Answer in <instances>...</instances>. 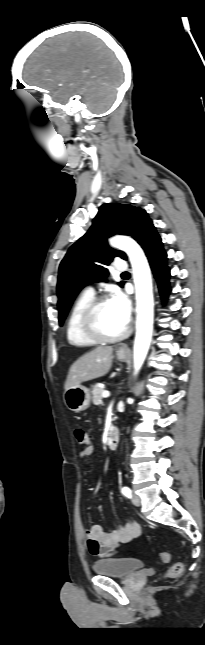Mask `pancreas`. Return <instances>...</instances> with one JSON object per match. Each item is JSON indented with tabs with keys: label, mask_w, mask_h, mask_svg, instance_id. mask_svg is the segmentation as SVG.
Listing matches in <instances>:
<instances>
[{
	"label": "pancreas",
	"mask_w": 205,
	"mask_h": 645,
	"mask_svg": "<svg viewBox=\"0 0 205 645\" xmlns=\"http://www.w3.org/2000/svg\"><path fill=\"white\" fill-rule=\"evenodd\" d=\"M103 391H104V388H101V387L99 386V384H96V385L93 387V390H92V400H93V403H94L95 405H100V404H102V397H103V396H102V393H103Z\"/></svg>",
	"instance_id": "cf45deb5"
}]
</instances>
